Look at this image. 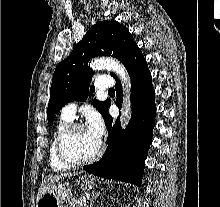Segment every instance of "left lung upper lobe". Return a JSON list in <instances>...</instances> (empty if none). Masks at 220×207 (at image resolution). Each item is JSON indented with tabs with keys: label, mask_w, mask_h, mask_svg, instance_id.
I'll use <instances>...</instances> for the list:
<instances>
[{
	"label": "left lung upper lobe",
	"mask_w": 220,
	"mask_h": 207,
	"mask_svg": "<svg viewBox=\"0 0 220 207\" xmlns=\"http://www.w3.org/2000/svg\"><path fill=\"white\" fill-rule=\"evenodd\" d=\"M135 46L133 36L117 21L104 20L92 26L75 45L70 56L61 61L54 71L48 103V122H52L55 114L67 103L85 101L93 76V71L88 67L91 58L112 56L125 64ZM111 75L115 77V74ZM90 90L94 91L92 87ZM109 104V100L94 101L103 117Z\"/></svg>",
	"instance_id": "5c2ea615"
}]
</instances>
